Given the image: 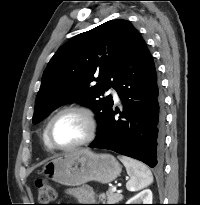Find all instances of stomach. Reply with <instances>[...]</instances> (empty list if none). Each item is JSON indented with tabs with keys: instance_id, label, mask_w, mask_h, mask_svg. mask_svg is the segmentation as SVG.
Listing matches in <instances>:
<instances>
[{
	"instance_id": "0dacf381",
	"label": "stomach",
	"mask_w": 200,
	"mask_h": 205,
	"mask_svg": "<svg viewBox=\"0 0 200 205\" xmlns=\"http://www.w3.org/2000/svg\"><path fill=\"white\" fill-rule=\"evenodd\" d=\"M43 172L47 178L65 186H80L89 181L105 184L119 176L121 165L110 154L80 149L47 162Z\"/></svg>"
}]
</instances>
